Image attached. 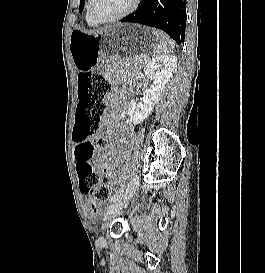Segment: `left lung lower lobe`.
<instances>
[{"instance_id": "left-lung-lower-lobe-1", "label": "left lung lower lobe", "mask_w": 265, "mask_h": 273, "mask_svg": "<svg viewBox=\"0 0 265 273\" xmlns=\"http://www.w3.org/2000/svg\"><path fill=\"white\" fill-rule=\"evenodd\" d=\"M121 22L161 29L181 44L185 38L186 0H142L139 8Z\"/></svg>"}]
</instances>
